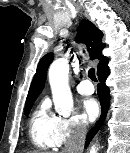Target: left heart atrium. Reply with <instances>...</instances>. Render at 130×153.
I'll return each mask as SVG.
<instances>
[{
	"instance_id": "obj_1",
	"label": "left heart atrium",
	"mask_w": 130,
	"mask_h": 153,
	"mask_svg": "<svg viewBox=\"0 0 130 153\" xmlns=\"http://www.w3.org/2000/svg\"><path fill=\"white\" fill-rule=\"evenodd\" d=\"M81 109L85 117H87L89 120L95 119L99 113V106L94 98L83 99Z\"/></svg>"
}]
</instances>
